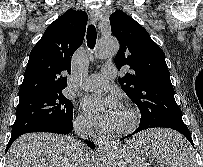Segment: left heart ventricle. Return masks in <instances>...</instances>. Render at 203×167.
Here are the masks:
<instances>
[{
  "instance_id": "1",
  "label": "left heart ventricle",
  "mask_w": 203,
  "mask_h": 167,
  "mask_svg": "<svg viewBox=\"0 0 203 167\" xmlns=\"http://www.w3.org/2000/svg\"><path fill=\"white\" fill-rule=\"evenodd\" d=\"M128 122V118L126 113L124 112L118 119L117 123L114 126V129L122 128L124 127Z\"/></svg>"
}]
</instances>
